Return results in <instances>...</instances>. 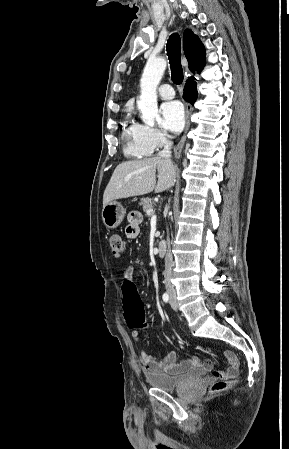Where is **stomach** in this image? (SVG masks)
Returning <instances> with one entry per match:
<instances>
[{"label": "stomach", "mask_w": 289, "mask_h": 449, "mask_svg": "<svg viewBox=\"0 0 289 449\" xmlns=\"http://www.w3.org/2000/svg\"><path fill=\"white\" fill-rule=\"evenodd\" d=\"M125 217V209L123 206L113 200L102 209V220L107 228H116L121 224Z\"/></svg>", "instance_id": "stomach-1"}]
</instances>
